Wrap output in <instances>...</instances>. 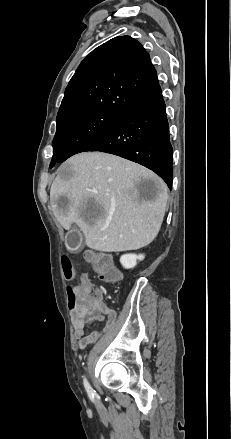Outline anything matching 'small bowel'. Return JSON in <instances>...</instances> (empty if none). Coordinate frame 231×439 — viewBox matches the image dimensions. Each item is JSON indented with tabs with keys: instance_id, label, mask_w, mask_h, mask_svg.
<instances>
[{
	"instance_id": "obj_1",
	"label": "small bowel",
	"mask_w": 231,
	"mask_h": 439,
	"mask_svg": "<svg viewBox=\"0 0 231 439\" xmlns=\"http://www.w3.org/2000/svg\"><path fill=\"white\" fill-rule=\"evenodd\" d=\"M73 292L79 294L81 305L77 311H71L69 305L70 296H68V307L75 337L78 341V347L84 349L87 345L93 343L101 334L99 330L86 334V329L90 325L101 321L103 317H105L104 329L110 328L116 320V311L105 305L101 291L94 289L87 278L82 284L74 286Z\"/></svg>"
}]
</instances>
